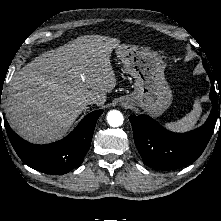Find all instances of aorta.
Masks as SVG:
<instances>
[{"mask_svg": "<svg viewBox=\"0 0 221 221\" xmlns=\"http://www.w3.org/2000/svg\"><path fill=\"white\" fill-rule=\"evenodd\" d=\"M107 121L110 126L118 127L123 124L124 118L120 111L118 110H111L107 114Z\"/></svg>", "mask_w": 221, "mask_h": 221, "instance_id": "aorta-1", "label": "aorta"}]
</instances>
